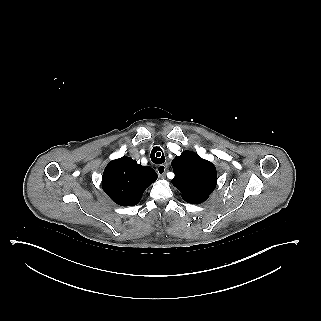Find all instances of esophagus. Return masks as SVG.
<instances>
[{"mask_svg":"<svg viewBox=\"0 0 321 321\" xmlns=\"http://www.w3.org/2000/svg\"><path fill=\"white\" fill-rule=\"evenodd\" d=\"M156 170L159 177L163 178L165 176L166 165H159Z\"/></svg>","mask_w":321,"mask_h":321,"instance_id":"obj_1","label":"esophagus"}]
</instances>
